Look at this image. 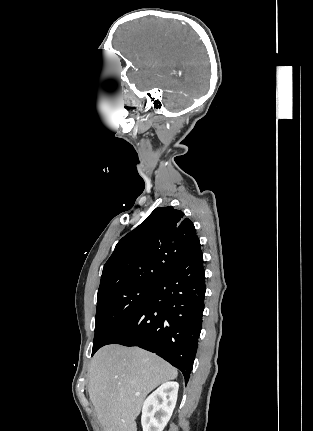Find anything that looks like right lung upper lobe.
Segmentation results:
<instances>
[{
	"label": "right lung upper lobe",
	"instance_id": "obj_1",
	"mask_svg": "<svg viewBox=\"0 0 313 431\" xmlns=\"http://www.w3.org/2000/svg\"><path fill=\"white\" fill-rule=\"evenodd\" d=\"M196 240L195 227L181 210L156 208L117 243L104 265L97 299L126 288L158 285Z\"/></svg>",
	"mask_w": 313,
	"mask_h": 431
}]
</instances>
